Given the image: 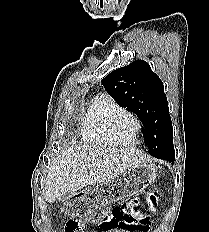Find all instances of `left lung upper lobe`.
Listing matches in <instances>:
<instances>
[{"label": "left lung upper lobe", "instance_id": "5c2ea615", "mask_svg": "<svg viewBox=\"0 0 209 232\" xmlns=\"http://www.w3.org/2000/svg\"><path fill=\"white\" fill-rule=\"evenodd\" d=\"M102 84L119 106L141 120L149 154L174 162L173 129L161 79L149 64L137 60L108 74Z\"/></svg>", "mask_w": 209, "mask_h": 232}]
</instances>
